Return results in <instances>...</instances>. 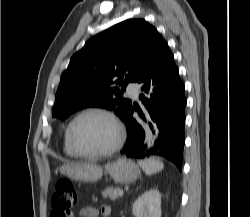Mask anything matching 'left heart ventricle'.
I'll return each instance as SVG.
<instances>
[{
	"label": "left heart ventricle",
	"instance_id": "1",
	"mask_svg": "<svg viewBox=\"0 0 250 217\" xmlns=\"http://www.w3.org/2000/svg\"><path fill=\"white\" fill-rule=\"evenodd\" d=\"M73 139L80 150L95 153L112 145L114 128L104 116L89 114L76 122Z\"/></svg>",
	"mask_w": 250,
	"mask_h": 217
}]
</instances>
